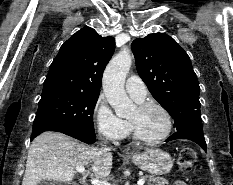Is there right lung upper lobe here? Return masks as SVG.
<instances>
[{"mask_svg": "<svg viewBox=\"0 0 233 185\" xmlns=\"http://www.w3.org/2000/svg\"><path fill=\"white\" fill-rule=\"evenodd\" d=\"M114 49L113 37H102L90 27L82 28L61 46L50 65L43 92L99 94L103 71Z\"/></svg>", "mask_w": 233, "mask_h": 185, "instance_id": "obj_1", "label": "right lung upper lobe"}]
</instances>
